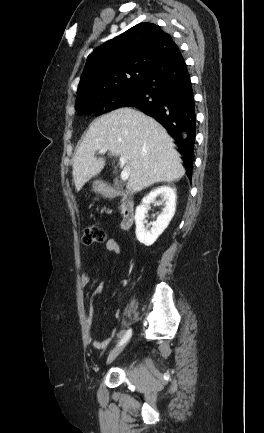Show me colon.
I'll return each mask as SVG.
<instances>
[{
  "instance_id": "5ec220e1",
  "label": "colon",
  "mask_w": 264,
  "mask_h": 433,
  "mask_svg": "<svg viewBox=\"0 0 264 433\" xmlns=\"http://www.w3.org/2000/svg\"><path fill=\"white\" fill-rule=\"evenodd\" d=\"M107 240V233L98 226H89L84 230L82 241L85 245L103 243Z\"/></svg>"
}]
</instances>
